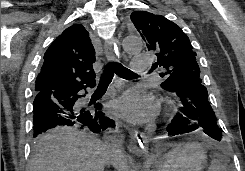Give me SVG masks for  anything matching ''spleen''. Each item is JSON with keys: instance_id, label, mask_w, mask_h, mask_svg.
Listing matches in <instances>:
<instances>
[{"instance_id": "obj_1", "label": "spleen", "mask_w": 245, "mask_h": 171, "mask_svg": "<svg viewBox=\"0 0 245 171\" xmlns=\"http://www.w3.org/2000/svg\"><path fill=\"white\" fill-rule=\"evenodd\" d=\"M208 171H226V167L218 159H213Z\"/></svg>"}]
</instances>
